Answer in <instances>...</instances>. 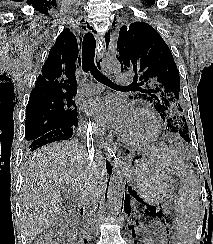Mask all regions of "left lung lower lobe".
I'll list each match as a JSON object with an SVG mask.
<instances>
[{"label": "left lung lower lobe", "instance_id": "1", "mask_svg": "<svg viewBox=\"0 0 213 244\" xmlns=\"http://www.w3.org/2000/svg\"><path fill=\"white\" fill-rule=\"evenodd\" d=\"M126 152H129V150H126ZM194 166H195V164H194Z\"/></svg>", "mask_w": 213, "mask_h": 244}]
</instances>
